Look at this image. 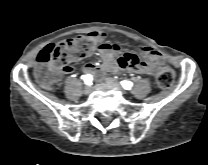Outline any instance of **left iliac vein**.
Wrapping results in <instances>:
<instances>
[{
    "label": "left iliac vein",
    "instance_id": "left-iliac-vein-1",
    "mask_svg": "<svg viewBox=\"0 0 208 165\" xmlns=\"http://www.w3.org/2000/svg\"><path fill=\"white\" fill-rule=\"evenodd\" d=\"M106 83L117 88L118 90H120L123 94L125 93V91L122 89V87L119 85V83H117L114 79L112 78H106L105 79Z\"/></svg>",
    "mask_w": 208,
    "mask_h": 165
}]
</instances>
